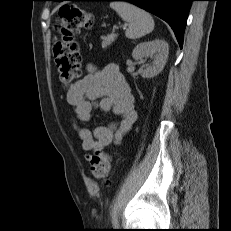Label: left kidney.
Here are the masks:
<instances>
[{"label":"left kidney","mask_w":231,"mask_h":231,"mask_svg":"<svg viewBox=\"0 0 231 231\" xmlns=\"http://www.w3.org/2000/svg\"><path fill=\"white\" fill-rule=\"evenodd\" d=\"M168 54V43L159 39L140 43L132 52L133 58L137 61H142L144 58L149 56L154 59L152 65H149L146 69L141 70V75L144 78H152L159 74L166 64Z\"/></svg>","instance_id":"obj_1"}]
</instances>
